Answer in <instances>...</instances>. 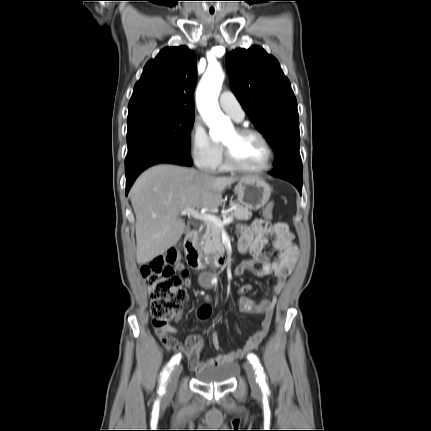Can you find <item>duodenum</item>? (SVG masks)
<instances>
[{"label": "duodenum", "instance_id": "duodenum-1", "mask_svg": "<svg viewBox=\"0 0 431 431\" xmlns=\"http://www.w3.org/2000/svg\"><path fill=\"white\" fill-rule=\"evenodd\" d=\"M197 231L192 230L187 234L184 240V250L189 266L193 269H203L207 266L222 267L225 264V259L220 253H215L205 256L201 253L197 246Z\"/></svg>", "mask_w": 431, "mask_h": 431}]
</instances>
